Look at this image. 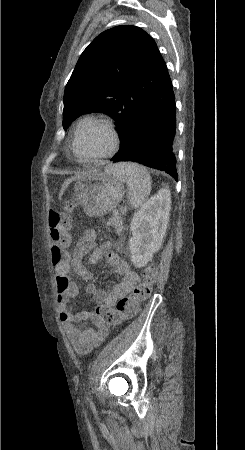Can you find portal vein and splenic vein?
Masks as SVG:
<instances>
[{"mask_svg":"<svg viewBox=\"0 0 245 450\" xmlns=\"http://www.w3.org/2000/svg\"><path fill=\"white\" fill-rule=\"evenodd\" d=\"M114 214H118V211H114Z\"/></svg>","mask_w":245,"mask_h":450,"instance_id":"1","label":"portal vein and splenic vein"}]
</instances>
